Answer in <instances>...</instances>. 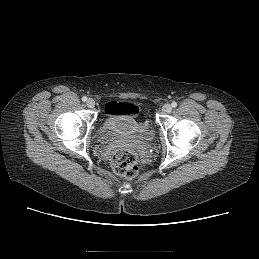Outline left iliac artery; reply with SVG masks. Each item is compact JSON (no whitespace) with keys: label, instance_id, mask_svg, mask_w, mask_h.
Instances as JSON below:
<instances>
[{"label":"left iliac artery","instance_id":"44dca946","mask_svg":"<svg viewBox=\"0 0 259 259\" xmlns=\"http://www.w3.org/2000/svg\"><path fill=\"white\" fill-rule=\"evenodd\" d=\"M171 106H172L173 108H175V107H177V103L174 101V102L171 103Z\"/></svg>","mask_w":259,"mask_h":259}]
</instances>
